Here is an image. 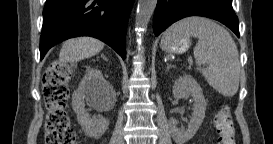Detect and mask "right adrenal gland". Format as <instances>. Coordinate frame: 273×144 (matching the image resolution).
<instances>
[{
	"mask_svg": "<svg viewBox=\"0 0 273 144\" xmlns=\"http://www.w3.org/2000/svg\"><path fill=\"white\" fill-rule=\"evenodd\" d=\"M101 57L107 61V57L104 55V53L101 54Z\"/></svg>",
	"mask_w": 273,
	"mask_h": 144,
	"instance_id": "1",
	"label": "right adrenal gland"
}]
</instances>
